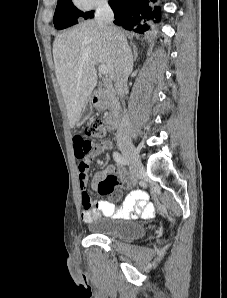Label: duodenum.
<instances>
[{"instance_id":"obj_1","label":"duodenum","mask_w":227,"mask_h":298,"mask_svg":"<svg viewBox=\"0 0 227 298\" xmlns=\"http://www.w3.org/2000/svg\"><path fill=\"white\" fill-rule=\"evenodd\" d=\"M94 104L99 109H108L105 124L109 130H115L119 123L120 107L114 95L106 89L98 90L94 96Z\"/></svg>"}]
</instances>
